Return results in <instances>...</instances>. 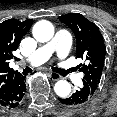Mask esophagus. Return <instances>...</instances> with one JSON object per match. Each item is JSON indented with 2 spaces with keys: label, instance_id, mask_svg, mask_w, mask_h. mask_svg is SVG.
I'll use <instances>...</instances> for the list:
<instances>
[{
  "label": "esophagus",
  "instance_id": "esophagus-1",
  "mask_svg": "<svg viewBox=\"0 0 117 117\" xmlns=\"http://www.w3.org/2000/svg\"><path fill=\"white\" fill-rule=\"evenodd\" d=\"M49 77H50L52 80H54V81L60 79V75L57 74V73H55V72H49Z\"/></svg>",
  "mask_w": 117,
  "mask_h": 117
}]
</instances>
